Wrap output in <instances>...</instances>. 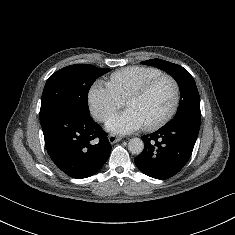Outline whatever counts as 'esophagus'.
Returning <instances> with one entry per match:
<instances>
[{
    "label": "esophagus",
    "instance_id": "obj_1",
    "mask_svg": "<svg viewBox=\"0 0 235 235\" xmlns=\"http://www.w3.org/2000/svg\"><path fill=\"white\" fill-rule=\"evenodd\" d=\"M108 140H109V142H110L111 144H114V143L120 141V140H121V137L115 136V135H109V136H108Z\"/></svg>",
    "mask_w": 235,
    "mask_h": 235
}]
</instances>
